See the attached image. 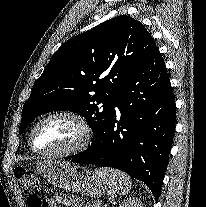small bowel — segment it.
Instances as JSON below:
<instances>
[{"mask_svg":"<svg viewBox=\"0 0 206 207\" xmlns=\"http://www.w3.org/2000/svg\"><path fill=\"white\" fill-rule=\"evenodd\" d=\"M50 207L67 206V207H81L78 199L70 196H56L50 199Z\"/></svg>","mask_w":206,"mask_h":207,"instance_id":"1","label":"small bowel"}]
</instances>
